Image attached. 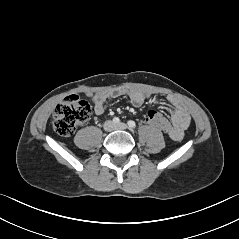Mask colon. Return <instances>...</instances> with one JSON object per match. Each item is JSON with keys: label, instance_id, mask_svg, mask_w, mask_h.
Here are the masks:
<instances>
[{"label": "colon", "instance_id": "colon-1", "mask_svg": "<svg viewBox=\"0 0 239 239\" xmlns=\"http://www.w3.org/2000/svg\"><path fill=\"white\" fill-rule=\"evenodd\" d=\"M89 101L77 95L65 97L55 108L53 113V128L61 136H70L77 126L86 122L91 116ZM145 123L154 126L157 131H166L170 127V120L158 108H151L145 114Z\"/></svg>", "mask_w": 239, "mask_h": 239}]
</instances>
